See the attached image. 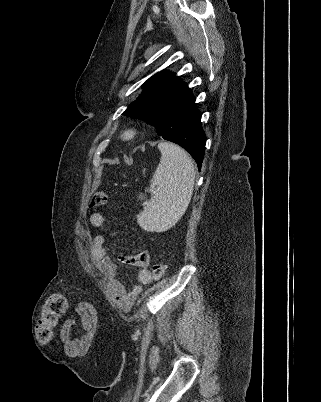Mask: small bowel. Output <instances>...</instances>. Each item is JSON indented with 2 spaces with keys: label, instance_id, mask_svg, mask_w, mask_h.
<instances>
[{
  "label": "small bowel",
  "instance_id": "c3829d8e",
  "mask_svg": "<svg viewBox=\"0 0 321 402\" xmlns=\"http://www.w3.org/2000/svg\"><path fill=\"white\" fill-rule=\"evenodd\" d=\"M90 225L94 229H99L106 223V216L101 212H94L90 215ZM105 238L103 235L96 234L91 241L92 256L97 267L103 276L107 279L112 295L118 306L125 312L130 311L137 298L142 292V286L152 281L148 265L150 256L147 252H141L135 255H119L118 261L138 268V283L126 289L123 282L117 277L118 261L106 253L104 248ZM95 305L93 302H82L77 310L80 324H84L78 332L79 338H69L68 329H74L76 322L74 320H62V338L66 352L73 358H82L91 345L92 335L98 327L95 319Z\"/></svg>",
  "mask_w": 321,
  "mask_h": 402
}]
</instances>
